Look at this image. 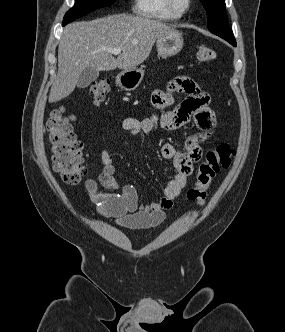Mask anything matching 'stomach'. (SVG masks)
I'll list each match as a JSON object with an SVG mask.
<instances>
[{"mask_svg":"<svg viewBox=\"0 0 285 332\" xmlns=\"http://www.w3.org/2000/svg\"><path fill=\"white\" fill-rule=\"evenodd\" d=\"M183 44L182 35L178 31L172 30L157 39L158 55L164 58L176 55L183 48ZM143 77L144 70L142 68L123 70L117 75L116 83L121 89L132 91L140 85Z\"/></svg>","mask_w":285,"mask_h":332,"instance_id":"obj_1","label":"stomach"}]
</instances>
